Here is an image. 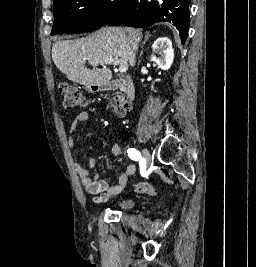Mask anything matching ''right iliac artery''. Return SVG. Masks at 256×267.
<instances>
[{
    "instance_id": "82829eb1",
    "label": "right iliac artery",
    "mask_w": 256,
    "mask_h": 267,
    "mask_svg": "<svg viewBox=\"0 0 256 267\" xmlns=\"http://www.w3.org/2000/svg\"><path fill=\"white\" fill-rule=\"evenodd\" d=\"M128 156L135 161H138L139 159H141V154L139 151H137L135 148H129L127 150Z\"/></svg>"
}]
</instances>
